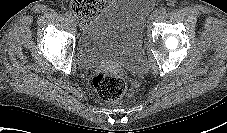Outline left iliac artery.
<instances>
[{"mask_svg":"<svg viewBox=\"0 0 227 133\" xmlns=\"http://www.w3.org/2000/svg\"><path fill=\"white\" fill-rule=\"evenodd\" d=\"M166 9L165 8H160L158 11H157V13H159V14H166Z\"/></svg>","mask_w":227,"mask_h":133,"instance_id":"1","label":"left iliac artery"}]
</instances>
